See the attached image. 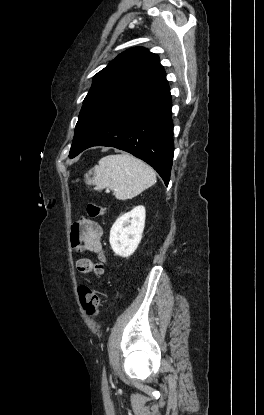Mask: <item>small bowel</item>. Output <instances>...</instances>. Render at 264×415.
Masks as SVG:
<instances>
[{"mask_svg":"<svg viewBox=\"0 0 264 415\" xmlns=\"http://www.w3.org/2000/svg\"><path fill=\"white\" fill-rule=\"evenodd\" d=\"M102 227L93 220L81 219L77 221L71 230V242L76 243L81 252L94 254L101 263L106 261L102 247ZM101 267L99 271L101 272Z\"/></svg>","mask_w":264,"mask_h":415,"instance_id":"c3829d8e","label":"small bowel"}]
</instances>
